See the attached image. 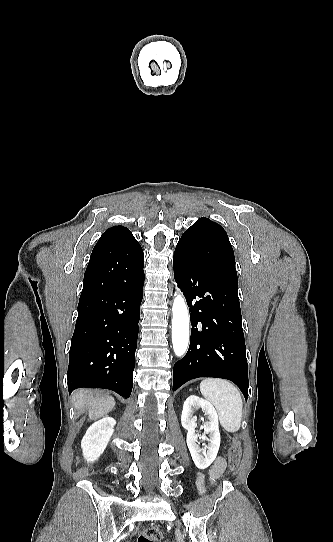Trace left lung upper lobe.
Here are the masks:
<instances>
[{
    "instance_id": "5c2ea615",
    "label": "left lung upper lobe",
    "mask_w": 333,
    "mask_h": 542,
    "mask_svg": "<svg viewBox=\"0 0 333 542\" xmlns=\"http://www.w3.org/2000/svg\"><path fill=\"white\" fill-rule=\"evenodd\" d=\"M177 246L185 249L197 263L237 277L234 251L227 233L210 219L199 218L183 233Z\"/></svg>"
}]
</instances>
